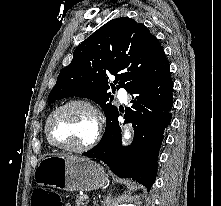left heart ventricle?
Returning a JSON list of instances; mask_svg holds the SVG:
<instances>
[{"mask_svg":"<svg viewBox=\"0 0 221 206\" xmlns=\"http://www.w3.org/2000/svg\"><path fill=\"white\" fill-rule=\"evenodd\" d=\"M92 115L85 108L72 106L57 114L51 125L52 139L61 145L81 146L93 136Z\"/></svg>","mask_w":221,"mask_h":206,"instance_id":"obj_1","label":"left heart ventricle"}]
</instances>
